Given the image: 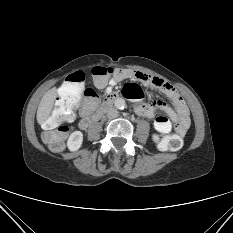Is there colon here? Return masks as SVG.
Returning <instances> with one entry per match:
<instances>
[{"mask_svg": "<svg viewBox=\"0 0 233 233\" xmlns=\"http://www.w3.org/2000/svg\"><path fill=\"white\" fill-rule=\"evenodd\" d=\"M112 74L113 69L108 66H96L91 71L93 83L98 88L104 87ZM84 83L85 75L83 72L76 71L70 74L59 89V95L52 113L43 122V141L54 152L61 151L65 146L69 132L65 122L72 119L73 110L79 103L81 95L89 103L96 104V92L92 88H85ZM182 145V138L175 134L162 137L158 142V147L167 151H177Z\"/></svg>", "mask_w": 233, "mask_h": 233, "instance_id": "colon-1", "label": "colon"}]
</instances>
